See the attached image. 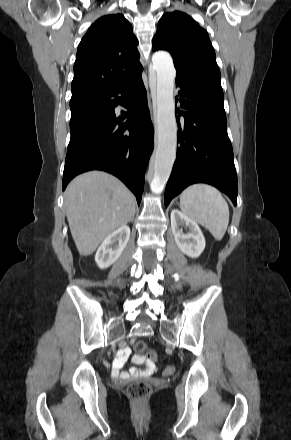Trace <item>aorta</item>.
<instances>
[{"mask_svg": "<svg viewBox=\"0 0 291 440\" xmlns=\"http://www.w3.org/2000/svg\"><path fill=\"white\" fill-rule=\"evenodd\" d=\"M152 63L157 74L155 95L157 147L153 161L151 189L155 193H160L170 177L176 159L177 124L173 99L176 71L172 57L167 52H156L152 56Z\"/></svg>", "mask_w": 291, "mask_h": 440, "instance_id": "1", "label": "aorta"}]
</instances>
